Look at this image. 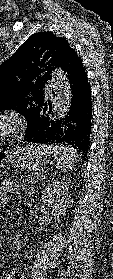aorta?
<instances>
[{
	"instance_id": "1",
	"label": "aorta",
	"mask_w": 113,
	"mask_h": 279,
	"mask_svg": "<svg viewBox=\"0 0 113 279\" xmlns=\"http://www.w3.org/2000/svg\"><path fill=\"white\" fill-rule=\"evenodd\" d=\"M52 81L55 88L54 110L56 119H63L70 111L72 91L68 78L61 69L52 72Z\"/></svg>"
}]
</instances>
